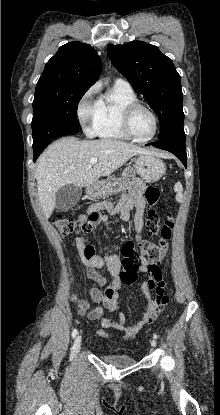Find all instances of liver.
Masks as SVG:
<instances>
[{
	"mask_svg": "<svg viewBox=\"0 0 220 415\" xmlns=\"http://www.w3.org/2000/svg\"><path fill=\"white\" fill-rule=\"evenodd\" d=\"M137 154L151 155L152 152L114 139L62 138L51 144L41 155L35 171L38 198L45 217L51 216L60 188L66 185L88 187ZM91 158H97V163L91 165Z\"/></svg>",
	"mask_w": 220,
	"mask_h": 415,
	"instance_id": "1",
	"label": "liver"
}]
</instances>
